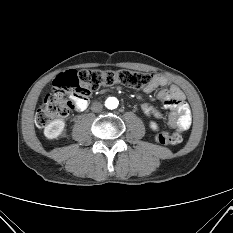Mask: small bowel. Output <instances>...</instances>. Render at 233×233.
<instances>
[{
  "mask_svg": "<svg viewBox=\"0 0 233 233\" xmlns=\"http://www.w3.org/2000/svg\"><path fill=\"white\" fill-rule=\"evenodd\" d=\"M160 89L156 93V97L162 101L164 108L171 111L167 124L170 128L178 131H185L190 128L192 124V114L188 103L185 101L183 91L177 86L170 83V81L163 75H153L151 82L143 89L145 93H151ZM89 105L88 99L78 103L76 109L84 111ZM141 110L148 117L162 119L163 114L150 103L141 104Z\"/></svg>",
  "mask_w": 233,
  "mask_h": 233,
  "instance_id": "small-bowel-1",
  "label": "small bowel"
}]
</instances>
